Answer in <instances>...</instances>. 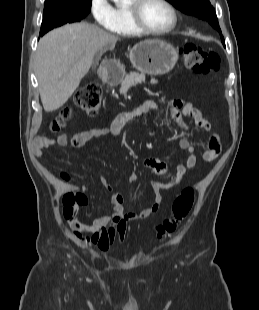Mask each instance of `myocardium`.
Wrapping results in <instances>:
<instances>
[{"mask_svg": "<svg viewBox=\"0 0 259 310\" xmlns=\"http://www.w3.org/2000/svg\"><path fill=\"white\" fill-rule=\"evenodd\" d=\"M148 0H131L127 5V12L134 29L141 34L163 36L171 33L178 25L179 15L175 6L169 0H159L172 14V23L165 29L155 30L148 27L142 20V9Z\"/></svg>", "mask_w": 259, "mask_h": 310, "instance_id": "1", "label": "myocardium"}]
</instances>
